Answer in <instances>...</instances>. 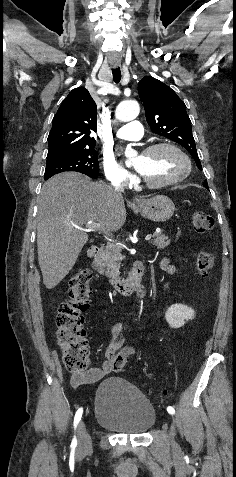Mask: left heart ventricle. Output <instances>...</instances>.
Returning a JSON list of instances; mask_svg holds the SVG:
<instances>
[{"instance_id":"left-heart-ventricle-1","label":"left heart ventricle","mask_w":236,"mask_h":477,"mask_svg":"<svg viewBox=\"0 0 236 477\" xmlns=\"http://www.w3.org/2000/svg\"><path fill=\"white\" fill-rule=\"evenodd\" d=\"M135 167L146 179L162 182L182 174L186 169V163L175 151L161 148L150 154L138 156Z\"/></svg>"}]
</instances>
